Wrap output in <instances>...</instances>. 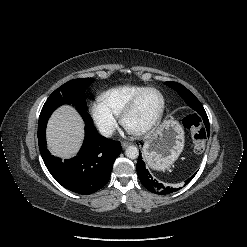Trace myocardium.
<instances>
[{"mask_svg":"<svg viewBox=\"0 0 247 247\" xmlns=\"http://www.w3.org/2000/svg\"><path fill=\"white\" fill-rule=\"evenodd\" d=\"M149 91H155L157 92L160 97H161V108L156 116V118L148 124L146 127L139 129V130H132L128 127L127 125V118L128 116L132 113V111L135 109L136 105L138 104L139 100L141 97L149 92ZM165 107H166V100L164 94L155 87H146L140 92H138L132 99L131 101L127 104V106L124 108L123 112L121 113V123L125 127L127 131H129L132 135L135 136H146L150 134L162 121L164 113H165Z\"/></svg>","mask_w":247,"mask_h":247,"instance_id":"myocardium-1","label":"myocardium"}]
</instances>
